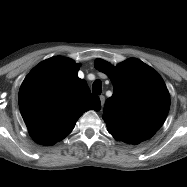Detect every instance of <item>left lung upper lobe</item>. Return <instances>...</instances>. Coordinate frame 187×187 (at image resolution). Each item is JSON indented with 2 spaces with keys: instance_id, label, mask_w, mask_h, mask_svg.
Instances as JSON below:
<instances>
[{
  "instance_id": "1",
  "label": "left lung upper lobe",
  "mask_w": 187,
  "mask_h": 187,
  "mask_svg": "<svg viewBox=\"0 0 187 187\" xmlns=\"http://www.w3.org/2000/svg\"><path fill=\"white\" fill-rule=\"evenodd\" d=\"M95 68L109 76L113 95L102 116L115 140L137 145L152 137L164 123L170 96L161 76L142 61L131 58L116 67L97 59Z\"/></svg>"
}]
</instances>
